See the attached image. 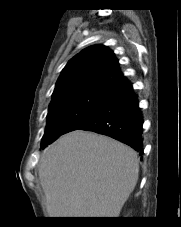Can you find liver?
<instances>
[{"mask_svg": "<svg viewBox=\"0 0 181 227\" xmlns=\"http://www.w3.org/2000/svg\"><path fill=\"white\" fill-rule=\"evenodd\" d=\"M137 153L107 136L77 130L49 145L39 179L49 217H118L134 190Z\"/></svg>", "mask_w": 181, "mask_h": 227, "instance_id": "6515ba94", "label": "liver"}]
</instances>
